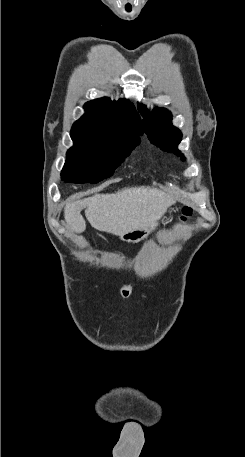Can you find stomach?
I'll return each instance as SVG.
<instances>
[{
	"instance_id": "obj_1",
	"label": "stomach",
	"mask_w": 245,
	"mask_h": 457,
	"mask_svg": "<svg viewBox=\"0 0 245 457\" xmlns=\"http://www.w3.org/2000/svg\"><path fill=\"white\" fill-rule=\"evenodd\" d=\"M166 218V216H163ZM158 222H152V224H147L143 226V229H133V231H126L122 235H118L120 241H125V243H139L143 239H147L151 231H155Z\"/></svg>"
}]
</instances>
